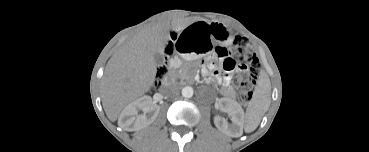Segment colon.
I'll return each instance as SVG.
<instances>
[{
    "mask_svg": "<svg viewBox=\"0 0 369 152\" xmlns=\"http://www.w3.org/2000/svg\"><path fill=\"white\" fill-rule=\"evenodd\" d=\"M233 54L220 52V67L227 74H234L237 85L243 91H249L255 84L259 60L244 39L235 42Z\"/></svg>",
    "mask_w": 369,
    "mask_h": 152,
    "instance_id": "5ec220e1",
    "label": "colon"
}]
</instances>
